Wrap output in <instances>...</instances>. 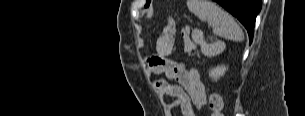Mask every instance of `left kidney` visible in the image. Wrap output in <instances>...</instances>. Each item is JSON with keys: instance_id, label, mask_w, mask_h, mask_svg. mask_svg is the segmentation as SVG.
<instances>
[{"instance_id": "5707ae66", "label": "left kidney", "mask_w": 305, "mask_h": 116, "mask_svg": "<svg viewBox=\"0 0 305 116\" xmlns=\"http://www.w3.org/2000/svg\"><path fill=\"white\" fill-rule=\"evenodd\" d=\"M227 69L228 67H226L225 65H218L217 67L212 68L209 71V77H211L214 81H217L221 76L225 74Z\"/></svg>"}]
</instances>
